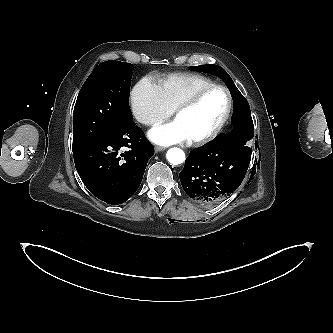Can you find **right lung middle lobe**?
<instances>
[{"label": "right lung middle lobe", "instance_id": "dd1d6c3e", "mask_svg": "<svg viewBox=\"0 0 333 333\" xmlns=\"http://www.w3.org/2000/svg\"><path fill=\"white\" fill-rule=\"evenodd\" d=\"M134 66L106 61L92 71L83 84L73 112V152L119 130L132 119L129 108Z\"/></svg>", "mask_w": 333, "mask_h": 333}]
</instances>
